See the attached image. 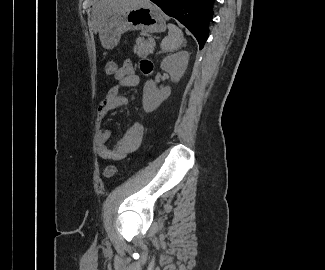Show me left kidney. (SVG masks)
I'll return each instance as SVG.
<instances>
[{
    "label": "left kidney",
    "instance_id": "obj_1",
    "mask_svg": "<svg viewBox=\"0 0 325 270\" xmlns=\"http://www.w3.org/2000/svg\"><path fill=\"white\" fill-rule=\"evenodd\" d=\"M189 56L190 55L187 51L174 53L170 56L165 57L162 60L160 67L162 70L170 74L171 80L173 82H178L187 68ZM170 94V87L157 89L154 81H147L143 88L144 111L147 113L154 111L164 100L170 96Z\"/></svg>",
    "mask_w": 325,
    "mask_h": 270
}]
</instances>
